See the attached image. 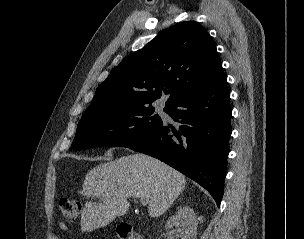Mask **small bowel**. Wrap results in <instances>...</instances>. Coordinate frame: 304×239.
<instances>
[{"mask_svg": "<svg viewBox=\"0 0 304 239\" xmlns=\"http://www.w3.org/2000/svg\"><path fill=\"white\" fill-rule=\"evenodd\" d=\"M58 228H59L60 231L65 232L67 230V225L64 222H60L58 224ZM52 239H60V237L55 235V236L52 237Z\"/></svg>", "mask_w": 304, "mask_h": 239, "instance_id": "small-bowel-1", "label": "small bowel"}]
</instances>
